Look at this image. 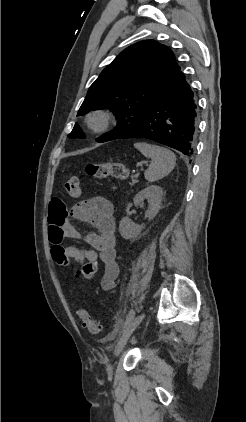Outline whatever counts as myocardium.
<instances>
[{"label":"myocardium","mask_w":246,"mask_h":422,"mask_svg":"<svg viewBox=\"0 0 246 422\" xmlns=\"http://www.w3.org/2000/svg\"><path fill=\"white\" fill-rule=\"evenodd\" d=\"M114 115L111 111L99 108L90 111L85 117L86 127L93 133H102L109 130L114 123Z\"/></svg>","instance_id":"myocardium-1"}]
</instances>
